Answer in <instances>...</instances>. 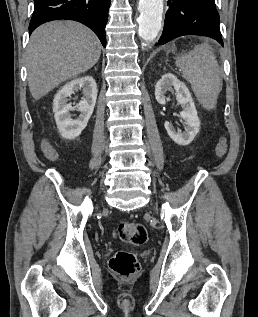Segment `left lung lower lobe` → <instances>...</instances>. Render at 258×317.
I'll list each match as a JSON object with an SVG mask.
<instances>
[{"instance_id":"0a47b994","label":"left lung lower lobe","mask_w":258,"mask_h":317,"mask_svg":"<svg viewBox=\"0 0 258 317\" xmlns=\"http://www.w3.org/2000/svg\"><path fill=\"white\" fill-rule=\"evenodd\" d=\"M164 29L156 45L183 35L207 36L222 46L215 0H168Z\"/></svg>"}]
</instances>
